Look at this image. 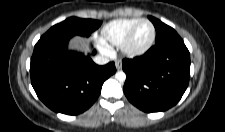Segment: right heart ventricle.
Instances as JSON below:
<instances>
[{"mask_svg":"<svg viewBox=\"0 0 225 132\" xmlns=\"http://www.w3.org/2000/svg\"><path fill=\"white\" fill-rule=\"evenodd\" d=\"M137 20L136 18H121L110 21L100 30V42L105 46H119L129 28Z\"/></svg>","mask_w":225,"mask_h":132,"instance_id":"right-heart-ventricle-1","label":"right heart ventricle"}]
</instances>
